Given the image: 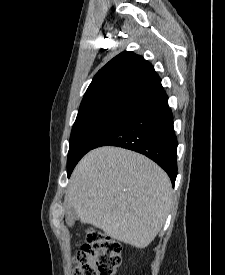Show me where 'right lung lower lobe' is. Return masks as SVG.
Wrapping results in <instances>:
<instances>
[{"mask_svg":"<svg viewBox=\"0 0 225 275\" xmlns=\"http://www.w3.org/2000/svg\"><path fill=\"white\" fill-rule=\"evenodd\" d=\"M177 138L168 97L129 113L96 145L130 149L155 161L174 185L177 175Z\"/></svg>","mask_w":225,"mask_h":275,"instance_id":"98d812e1","label":"right lung lower lobe"}]
</instances>
